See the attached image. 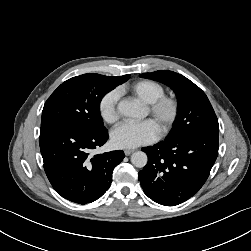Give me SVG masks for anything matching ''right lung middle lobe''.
<instances>
[{
  "mask_svg": "<svg viewBox=\"0 0 251 251\" xmlns=\"http://www.w3.org/2000/svg\"><path fill=\"white\" fill-rule=\"evenodd\" d=\"M128 79L129 75L114 77L95 73L68 79L46 101L41 127L66 123L86 130H105L100 102L106 93Z\"/></svg>",
  "mask_w": 251,
  "mask_h": 251,
  "instance_id": "dd1d6c3e",
  "label": "right lung middle lobe"
}]
</instances>
